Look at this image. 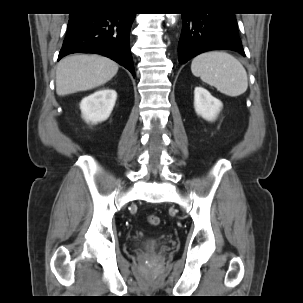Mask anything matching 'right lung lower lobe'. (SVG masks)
<instances>
[{
    "instance_id": "1",
    "label": "right lung lower lobe",
    "mask_w": 303,
    "mask_h": 303,
    "mask_svg": "<svg viewBox=\"0 0 303 303\" xmlns=\"http://www.w3.org/2000/svg\"><path fill=\"white\" fill-rule=\"evenodd\" d=\"M134 13L86 9L70 14L67 34L58 60L72 53H96L113 59L135 76L130 52Z\"/></svg>"
}]
</instances>
